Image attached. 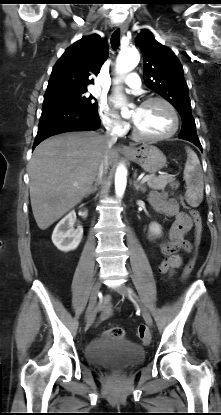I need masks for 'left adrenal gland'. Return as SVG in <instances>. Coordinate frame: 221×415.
Instances as JSON below:
<instances>
[{"label":"left adrenal gland","instance_id":"left-adrenal-gland-1","mask_svg":"<svg viewBox=\"0 0 221 415\" xmlns=\"http://www.w3.org/2000/svg\"><path fill=\"white\" fill-rule=\"evenodd\" d=\"M136 176H137V174L135 173V175H134V181H133L134 188L137 191L140 190L142 193H145L146 192V188L142 184L138 183V181L136 180Z\"/></svg>","mask_w":221,"mask_h":415}]
</instances>
